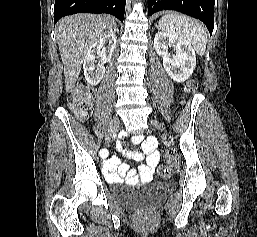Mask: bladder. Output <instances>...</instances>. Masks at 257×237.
Wrapping results in <instances>:
<instances>
[{
  "mask_svg": "<svg viewBox=\"0 0 257 237\" xmlns=\"http://www.w3.org/2000/svg\"><path fill=\"white\" fill-rule=\"evenodd\" d=\"M165 194L163 184H155L153 187L145 190H129L124 193L120 199L127 205L133 207L154 206Z\"/></svg>",
  "mask_w": 257,
  "mask_h": 237,
  "instance_id": "1",
  "label": "bladder"
}]
</instances>
